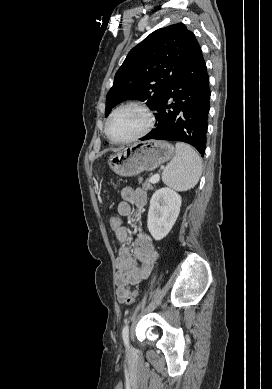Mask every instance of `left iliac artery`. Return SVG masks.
Listing matches in <instances>:
<instances>
[{
  "instance_id": "left-iliac-artery-1",
  "label": "left iliac artery",
  "mask_w": 272,
  "mask_h": 389,
  "mask_svg": "<svg viewBox=\"0 0 272 389\" xmlns=\"http://www.w3.org/2000/svg\"><path fill=\"white\" fill-rule=\"evenodd\" d=\"M122 337H123L124 344L126 346H128V343H129V326H128V324H126L122 329Z\"/></svg>"
}]
</instances>
